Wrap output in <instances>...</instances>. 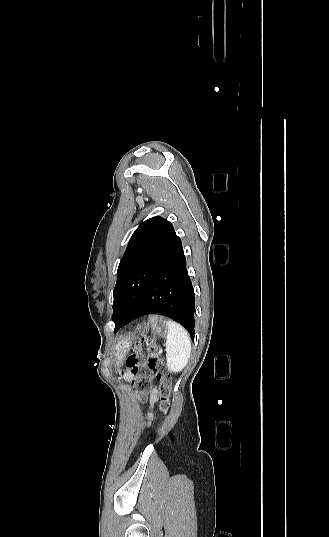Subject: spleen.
<instances>
[{
  "instance_id": "1",
  "label": "spleen",
  "mask_w": 329,
  "mask_h": 537,
  "mask_svg": "<svg viewBox=\"0 0 329 537\" xmlns=\"http://www.w3.org/2000/svg\"><path fill=\"white\" fill-rule=\"evenodd\" d=\"M191 354V341L187 331L177 322L168 321L166 340L167 366L172 372L182 371Z\"/></svg>"
}]
</instances>
